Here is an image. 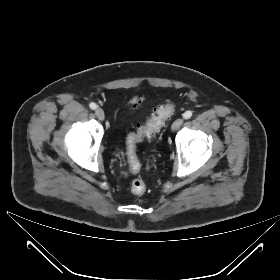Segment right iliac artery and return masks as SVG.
<instances>
[{
	"label": "right iliac artery",
	"instance_id": "82829eb1",
	"mask_svg": "<svg viewBox=\"0 0 280 280\" xmlns=\"http://www.w3.org/2000/svg\"><path fill=\"white\" fill-rule=\"evenodd\" d=\"M89 107H90L92 110H94V109L97 108V105H96L95 103L92 102V103H90Z\"/></svg>",
	"mask_w": 280,
	"mask_h": 280
}]
</instances>
